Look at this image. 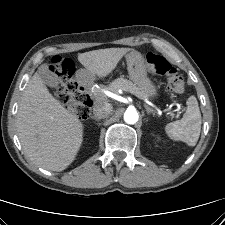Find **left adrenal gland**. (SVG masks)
I'll use <instances>...</instances> for the list:
<instances>
[{
    "instance_id": "a2214340",
    "label": "left adrenal gland",
    "mask_w": 225,
    "mask_h": 225,
    "mask_svg": "<svg viewBox=\"0 0 225 225\" xmlns=\"http://www.w3.org/2000/svg\"><path fill=\"white\" fill-rule=\"evenodd\" d=\"M144 107H145L148 114H152L153 116L156 114V112L152 108H150L149 106L144 105Z\"/></svg>"
}]
</instances>
